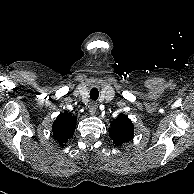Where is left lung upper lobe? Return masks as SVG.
Here are the masks:
<instances>
[{"label": "left lung upper lobe", "mask_w": 194, "mask_h": 194, "mask_svg": "<svg viewBox=\"0 0 194 194\" xmlns=\"http://www.w3.org/2000/svg\"><path fill=\"white\" fill-rule=\"evenodd\" d=\"M110 126L109 135L115 145L122 146L123 143L129 142L133 138V124L127 116L120 115L112 121Z\"/></svg>", "instance_id": "1"}]
</instances>
